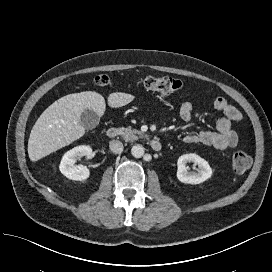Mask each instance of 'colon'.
Returning a JSON list of instances; mask_svg holds the SVG:
<instances>
[{"label":"colon","instance_id":"5ec220e1","mask_svg":"<svg viewBox=\"0 0 272 272\" xmlns=\"http://www.w3.org/2000/svg\"><path fill=\"white\" fill-rule=\"evenodd\" d=\"M97 86L104 87L110 83V78L105 75L97 76L94 80ZM141 84L147 91L170 95L182 89L183 83L176 78L169 76H147L142 79ZM232 166L235 172L243 173L251 166V157L244 151H237L232 158Z\"/></svg>","mask_w":272,"mask_h":272}]
</instances>
